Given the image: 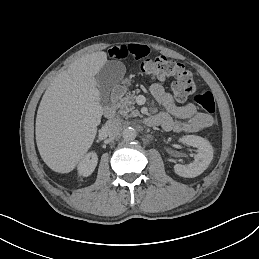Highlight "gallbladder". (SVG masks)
<instances>
[{"label": "gallbladder", "mask_w": 259, "mask_h": 259, "mask_svg": "<svg viewBox=\"0 0 259 259\" xmlns=\"http://www.w3.org/2000/svg\"><path fill=\"white\" fill-rule=\"evenodd\" d=\"M125 67L119 60L108 61L95 75L101 104L104 107L110 106L111 92L123 78Z\"/></svg>", "instance_id": "gallbladder-1"}]
</instances>
